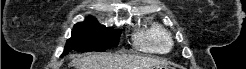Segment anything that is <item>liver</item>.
<instances>
[{
	"label": "liver",
	"mask_w": 246,
	"mask_h": 69,
	"mask_svg": "<svg viewBox=\"0 0 246 69\" xmlns=\"http://www.w3.org/2000/svg\"><path fill=\"white\" fill-rule=\"evenodd\" d=\"M157 65L161 61L135 55L92 54L75 59L76 69H150Z\"/></svg>",
	"instance_id": "liver-1"
}]
</instances>
